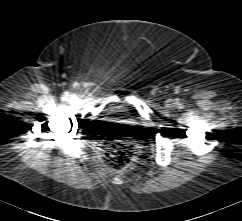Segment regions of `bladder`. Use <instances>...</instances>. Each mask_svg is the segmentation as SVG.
<instances>
[{
  "mask_svg": "<svg viewBox=\"0 0 242 221\" xmlns=\"http://www.w3.org/2000/svg\"><path fill=\"white\" fill-rule=\"evenodd\" d=\"M111 110L112 112L109 116H112V117L119 116V115L122 116V114L125 113L124 107L122 105H113L111 107Z\"/></svg>",
  "mask_w": 242,
  "mask_h": 221,
  "instance_id": "31cf9c89",
  "label": "bladder"
}]
</instances>
